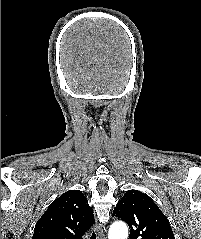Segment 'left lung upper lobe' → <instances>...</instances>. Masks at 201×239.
Masks as SVG:
<instances>
[{
    "instance_id": "5c2ea615",
    "label": "left lung upper lobe",
    "mask_w": 201,
    "mask_h": 239,
    "mask_svg": "<svg viewBox=\"0 0 201 239\" xmlns=\"http://www.w3.org/2000/svg\"><path fill=\"white\" fill-rule=\"evenodd\" d=\"M112 216L128 224L130 239H175L166 216L149 196L138 190H128Z\"/></svg>"
}]
</instances>
